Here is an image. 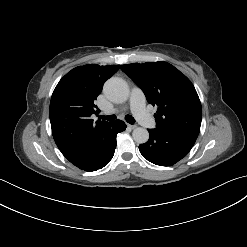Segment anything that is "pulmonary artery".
<instances>
[{
  "mask_svg": "<svg viewBox=\"0 0 247 247\" xmlns=\"http://www.w3.org/2000/svg\"><path fill=\"white\" fill-rule=\"evenodd\" d=\"M129 108L134 115V117L138 120V122L145 128L153 129L156 126L155 119L146 111L145 109V96L143 92L134 88L131 91L130 99L127 105L122 107L120 110L115 109L114 112L124 111Z\"/></svg>",
  "mask_w": 247,
  "mask_h": 247,
  "instance_id": "obj_1",
  "label": "pulmonary artery"
}]
</instances>
